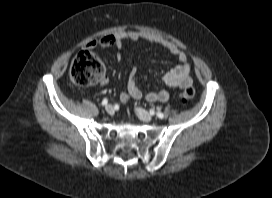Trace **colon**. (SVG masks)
I'll return each instance as SVG.
<instances>
[{
  "instance_id": "colon-1",
  "label": "colon",
  "mask_w": 272,
  "mask_h": 198,
  "mask_svg": "<svg viewBox=\"0 0 272 198\" xmlns=\"http://www.w3.org/2000/svg\"><path fill=\"white\" fill-rule=\"evenodd\" d=\"M104 65L100 59L90 50L80 51L72 61L70 68L71 81L81 87L90 86L99 82L104 76ZM194 89L186 88L182 93L185 101L194 98Z\"/></svg>"
}]
</instances>
